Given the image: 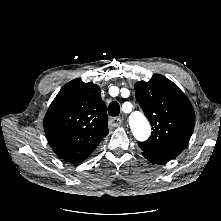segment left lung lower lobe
I'll return each instance as SVG.
<instances>
[{
  "mask_svg": "<svg viewBox=\"0 0 221 221\" xmlns=\"http://www.w3.org/2000/svg\"><path fill=\"white\" fill-rule=\"evenodd\" d=\"M143 156L148 159L149 161H151L152 163H156V164H162V163H166L168 162L169 160L171 159H168V158H160V157H153V156H150L148 154H145V153H142Z\"/></svg>",
  "mask_w": 221,
  "mask_h": 221,
  "instance_id": "obj_1",
  "label": "left lung lower lobe"
}]
</instances>
